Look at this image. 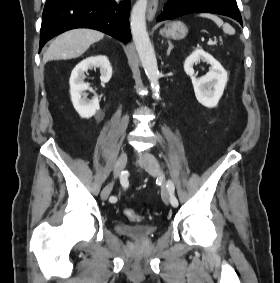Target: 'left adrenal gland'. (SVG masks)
<instances>
[{
	"instance_id": "obj_1",
	"label": "left adrenal gland",
	"mask_w": 280,
	"mask_h": 283,
	"mask_svg": "<svg viewBox=\"0 0 280 283\" xmlns=\"http://www.w3.org/2000/svg\"><path fill=\"white\" fill-rule=\"evenodd\" d=\"M168 50H167V55L169 56L170 55V52H171V50L174 48V46H173V44L170 42V41H168Z\"/></svg>"
}]
</instances>
